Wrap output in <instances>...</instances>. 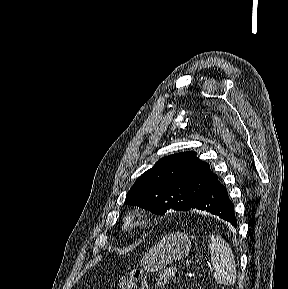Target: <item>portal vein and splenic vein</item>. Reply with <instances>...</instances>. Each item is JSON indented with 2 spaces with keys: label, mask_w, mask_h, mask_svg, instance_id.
I'll use <instances>...</instances> for the list:
<instances>
[{
  "label": "portal vein and splenic vein",
  "mask_w": 288,
  "mask_h": 289,
  "mask_svg": "<svg viewBox=\"0 0 288 289\" xmlns=\"http://www.w3.org/2000/svg\"><path fill=\"white\" fill-rule=\"evenodd\" d=\"M186 264H189V262H186ZM211 268V266H209Z\"/></svg>",
  "instance_id": "1"
}]
</instances>
